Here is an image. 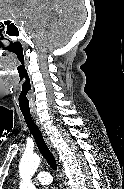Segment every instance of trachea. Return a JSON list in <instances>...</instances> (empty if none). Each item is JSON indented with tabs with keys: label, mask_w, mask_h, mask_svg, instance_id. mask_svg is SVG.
Masks as SVG:
<instances>
[{
	"label": "trachea",
	"mask_w": 124,
	"mask_h": 189,
	"mask_svg": "<svg viewBox=\"0 0 124 189\" xmlns=\"http://www.w3.org/2000/svg\"><path fill=\"white\" fill-rule=\"evenodd\" d=\"M23 117L25 119V122L31 132V134L33 135L35 142L37 144V147L40 151V153L42 154V156L44 157V159L47 161V163L50 165V167L53 170H57V164H56V160L53 156V154L51 153V151L49 150L48 146L46 145L42 133L39 130L37 124L35 123L34 119L31 116L30 112H22Z\"/></svg>",
	"instance_id": "obj_1"
}]
</instances>
